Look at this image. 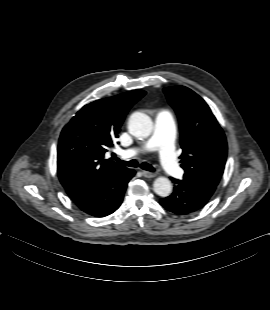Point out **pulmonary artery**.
<instances>
[{
    "instance_id": "pulmonary-artery-1",
    "label": "pulmonary artery",
    "mask_w": 270,
    "mask_h": 310,
    "mask_svg": "<svg viewBox=\"0 0 270 310\" xmlns=\"http://www.w3.org/2000/svg\"><path fill=\"white\" fill-rule=\"evenodd\" d=\"M176 135L175 118L171 111L160 110L155 116L154 131L150 138L144 143L142 149L131 148L124 152V156L132 157L141 150H158L160 161L166 171L175 177L183 174V169L177 162L174 151V140Z\"/></svg>"
}]
</instances>
